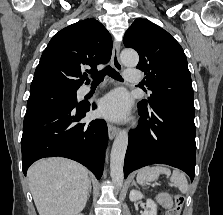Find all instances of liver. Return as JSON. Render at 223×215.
<instances>
[{"label":"liver","mask_w":223,"mask_h":215,"mask_svg":"<svg viewBox=\"0 0 223 215\" xmlns=\"http://www.w3.org/2000/svg\"><path fill=\"white\" fill-rule=\"evenodd\" d=\"M39 215H76L86 205L88 169L65 157H47L27 171Z\"/></svg>","instance_id":"liver-1"}]
</instances>
